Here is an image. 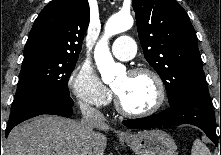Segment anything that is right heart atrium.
<instances>
[{"label": "right heart atrium", "instance_id": "right-heart-atrium-1", "mask_svg": "<svg viewBox=\"0 0 221 155\" xmlns=\"http://www.w3.org/2000/svg\"><path fill=\"white\" fill-rule=\"evenodd\" d=\"M68 85L75 99L82 105L103 108L111 101L110 90L89 65L81 64L75 68Z\"/></svg>", "mask_w": 221, "mask_h": 155}]
</instances>
